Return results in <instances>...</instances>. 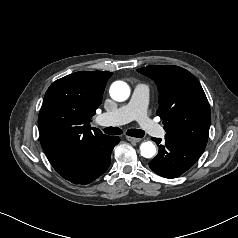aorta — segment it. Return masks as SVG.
I'll return each mask as SVG.
<instances>
[{
    "mask_svg": "<svg viewBox=\"0 0 238 238\" xmlns=\"http://www.w3.org/2000/svg\"><path fill=\"white\" fill-rule=\"evenodd\" d=\"M109 93L113 100L122 102L128 99L130 88L123 81H115L112 83ZM140 154L145 158H152L156 155V146L151 141L143 142L140 145Z\"/></svg>",
    "mask_w": 238,
    "mask_h": 238,
    "instance_id": "762f6f07",
    "label": "aorta"
}]
</instances>
